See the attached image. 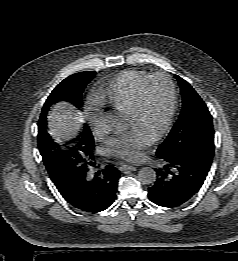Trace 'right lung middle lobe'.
I'll use <instances>...</instances> for the list:
<instances>
[{
	"label": "right lung middle lobe",
	"mask_w": 238,
	"mask_h": 261,
	"mask_svg": "<svg viewBox=\"0 0 238 261\" xmlns=\"http://www.w3.org/2000/svg\"><path fill=\"white\" fill-rule=\"evenodd\" d=\"M94 75V71H85L67 77L51 92L42 109L38 128L39 150L55 185L69 182L91 165L94 139L89 127L85 125L81 135L73 141L63 146L54 142L46 131L48 108L58 100H67L80 107L84 88Z\"/></svg>",
	"instance_id": "dd1d6c3e"
}]
</instances>
